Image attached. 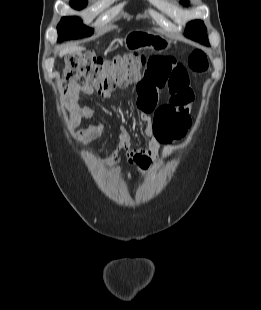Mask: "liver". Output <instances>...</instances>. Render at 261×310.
<instances>
[{
	"instance_id": "6515ba94",
	"label": "liver",
	"mask_w": 261,
	"mask_h": 310,
	"mask_svg": "<svg viewBox=\"0 0 261 310\" xmlns=\"http://www.w3.org/2000/svg\"><path fill=\"white\" fill-rule=\"evenodd\" d=\"M85 48L77 45H72L60 50L59 56L62 57L64 55H71L74 53H80Z\"/></svg>"
}]
</instances>
